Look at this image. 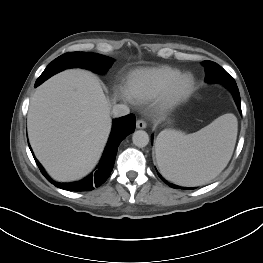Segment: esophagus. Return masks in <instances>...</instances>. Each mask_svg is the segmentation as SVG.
Segmentation results:
<instances>
[{
	"mask_svg": "<svg viewBox=\"0 0 263 263\" xmlns=\"http://www.w3.org/2000/svg\"><path fill=\"white\" fill-rule=\"evenodd\" d=\"M146 126H147V124L144 120H142V119L137 120L136 127L138 129H144V128H146Z\"/></svg>",
	"mask_w": 263,
	"mask_h": 263,
	"instance_id": "34e87169",
	"label": "esophagus"
}]
</instances>
